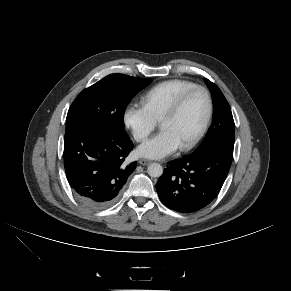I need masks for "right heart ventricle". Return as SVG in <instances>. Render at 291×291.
Masks as SVG:
<instances>
[{
    "mask_svg": "<svg viewBox=\"0 0 291 291\" xmlns=\"http://www.w3.org/2000/svg\"><path fill=\"white\" fill-rule=\"evenodd\" d=\"M195 85L194 82L184 79H171L160 82L142 95V106L156 121H160L162 115L173 101L182 92Z\"/></svg>",
    "mask_w": 291,
    "mask_h": 291,
    "instance_id": "right-heart-ventricle-1",
    "label": "right heart ventricle"
}]
</instances>
